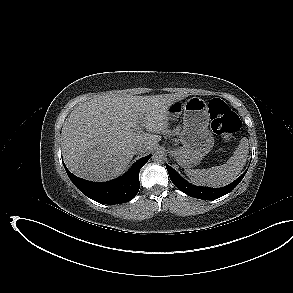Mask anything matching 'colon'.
<instances>
[{"label":"colon","mask_w":293,"mask_h":293,"mask_svg":"<svg viewBox=\"0 0 293 293\" xmlns=\"http://www.w3.org/2000/svg\"><path fill=\"white\" fill-rule=\"evenodd\" d=\"M208 109L213 131L225 140H231L241 128L239 116L219 98L211 99L208 103Z\"/></svg>","instance_id":"obj_1"}]
</instances>
